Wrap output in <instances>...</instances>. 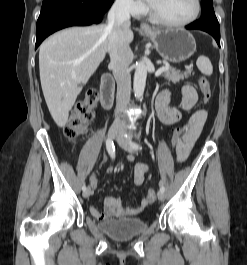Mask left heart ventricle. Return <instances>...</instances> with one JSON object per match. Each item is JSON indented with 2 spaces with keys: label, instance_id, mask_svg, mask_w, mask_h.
<instances>
[{
  "label": "left heart ventricle",
  "instance_id": "left-heart-ventricle-1",
  "mask_svg": "<svg viewBox=\"0 0 247 265\" xmlns=\"http://www.w3.org/2000/svg\"><path fill=\"white\" fill-rule=\"evenodd\" d=\"M156 13L170 21H184L195 11L194 0H150Z\"/></svg>",
  "mask_w": 247,
  "mask_h": 265
}]
</instances>
